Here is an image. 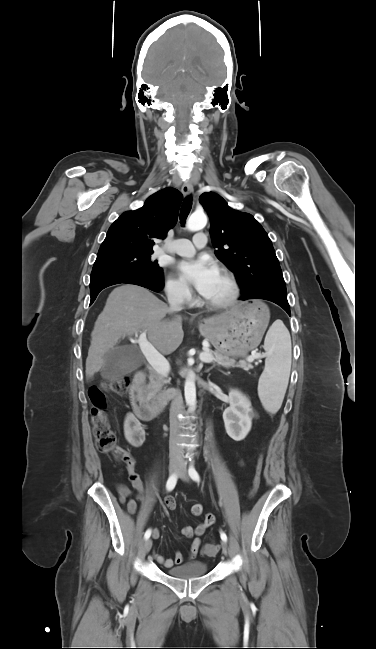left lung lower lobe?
<instances>
[{
  "label": "left lung lower lobe",
  "instance_id": "0a47b994",
  "mask_svg": "<svg viewBox=\"0 0 376 649\" xmlns=\"http://www.w3.org/2000/svg\"><path fill=\"white\" fill-rule=\"evenodd\" d=\"M241 300H247V299H264V300H269L280 307H282L290 316V306L287 301V297L279 296L276 295L273 292H270L268 290H260L258 293H255L253 295H250L248 297H241Z\"/></svg>",
  "mask_w": 376,
  "mask_h": 649
}]
</instances>
